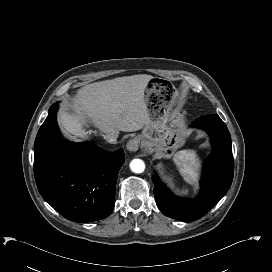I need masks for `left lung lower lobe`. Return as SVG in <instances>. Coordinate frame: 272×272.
<instances>
[{"label":"left lung lower lobe","instance_id":"1","mask_svg":"<svg viewBox=\"0 0 272 272\" xmlns=\"http://www.w3.org/2000/svg\"><path fill=\"white\" fill-rule=\"evenodd\" d=\"M192 126L205 129L211 137L213 151L205 163L201 192L196 199L173 195L157 175H152L156 204L161 212L181 221H193L206 214L228 191L233 180L234 162L230 133L216 114L193 121Z\"/></svg>","mask_w":272,"mask_h":272}]
</instances>
